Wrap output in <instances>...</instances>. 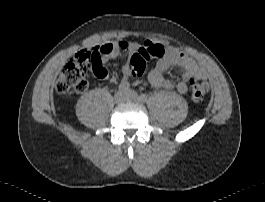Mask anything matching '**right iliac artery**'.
Segmentation results:
<instances>
[{
    "label": "right iliac artery",
    "mask_w": 265,
    "mask_h": 202,
    "mask_svg": "<svg viewBox=\"0 0 265 202\" xmlns=\"http://www.w3.org/2000/svg\"><path fill=\"white\" fill-rule=\"evenodd\" d=\"M128 89H129V83L127 82H121L118 87L119 92H124V91H127Z\"/></svg>",
    "instance_id": "obj_1"
}]
</instances>
